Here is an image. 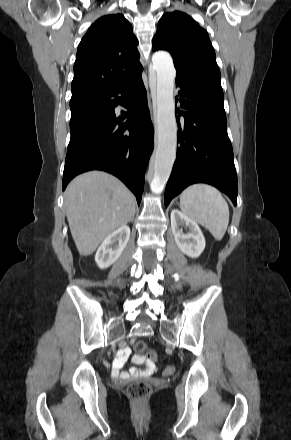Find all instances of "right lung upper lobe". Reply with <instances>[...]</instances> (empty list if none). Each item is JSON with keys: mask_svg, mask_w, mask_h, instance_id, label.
Segmentation results:
<instances>
[{"mask_svg": "<svg viewBox=\"0 0 291 440\" xmlns=\"http://www.w3.org/2000/svg\"><path fill=\"white\" fill-rule=\"evenodd\" d=\"M138 40L122 14L95 21L82 38L74 64L72 96L108 91L142 72Z\"/></svg>", "mask_w": 291, "mask_h": 440, "instance_id": "cb5924a9", "label": "right lung upper lobe"}]
</instances>
